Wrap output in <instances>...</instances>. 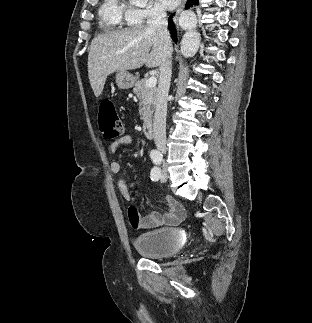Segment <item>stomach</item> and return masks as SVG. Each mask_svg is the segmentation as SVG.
Returning a JSON list of instances; mask_svg holds the SVG:
<instances>
[{
  "label": "stomach",
  "mask_w": 312,
  "mask_h": 323,
  "mask_svg": "<svg viewBox=\"0 0 312 323\" xmlns=\"http://www.w3.org/2000/svg\"><path fill=\"white\" fill-rule=\"evenodd\" d=\"M136 80L137 78H135L133 74L126 72V70H122V72H117L116 74V84L120 90H128V88H132Z\"/></svg>",
  "instance_id": "stomach-1"
}]
</instances>
